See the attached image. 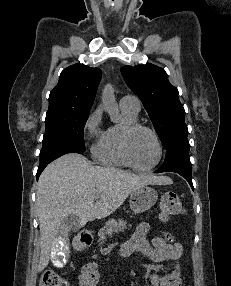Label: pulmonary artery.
<instances>
[{
	"label": "pulmonary artery",
	"instance_id": "1",
	"mask_svg": "<svg viewBox=\"0 0 231 286\" xmlns=\"http://www.w3.org/2000/svg\"><path fill=\"white\" fill-rule=\"evenodd\" d=\"M121 109H126L134 113L140 111L141 103L140 100L134 95H125L120 99Z\"/></svg>",
	"mask_w": 231,
	"mask_h": 286
}]
</instances>
